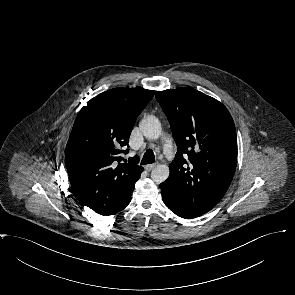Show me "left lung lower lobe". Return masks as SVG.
<instances>
[{
	"label": "left lung lower lobe",
	"instance_id": "1",
	"mask_svg": "<svg viewBox=\"0 0 295 295\" xmlns=\"http://www.w3.org/2000/svg\"><path fill=\"white\" fill-rule=\"evenodd\" d=\"M162 198L165 205L176 215L186 219H192L200 216V214L193 212L187 205H185L179 195L166 183L160 184Z\"/></svg>",
	"mask_w": 295,
	"mask_h": 295
}]
</instances>
